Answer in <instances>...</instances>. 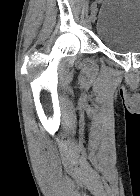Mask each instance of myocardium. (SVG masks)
I'll use <instances>...</instances> for the list:
<instances>
[{
  "instance_id": "myocardium-1",
  "label": "myocardium",
  "mask_w": 140,
  "mask_h": 196,
  "mask_svg": "<svg viewBox=\"0 0 140 196\" xmlns=\"http://www.w3.org/2000/svg\"><path fill=\"white\" fill-rule=\"evenodd\" d=\"M94 192H122V191H94Z\"/></svg>"
}]
</instances>
